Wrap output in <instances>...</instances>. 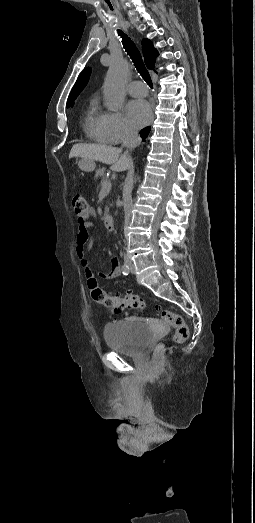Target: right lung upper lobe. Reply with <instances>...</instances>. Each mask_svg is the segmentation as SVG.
<instances>
[{"mask_svg":"<svg viewBox=\"0 0 255 523\" xmlns=\"http://www.w3.org/2000/svg\"><path fill=\"white\" fill-rule=\"evenodd\" d=\"M142 52L145 59V63L149 69H154V64L156 57L158 56V51L154 48L153 43L149 39H143L142 40ZM91 73L90 68H86L81 75L79 76L78 80L76 81L70 95L68 98V102L74 101V99L78 96V94L81 92V90L84 88V86L87 84L89 76ZM150 126L145 127L140 131V135L145 140L150 132Z\"/></svg>","mask_w":255,"mask_h":523,"instance_id":"cb5924a9","label":"right lung upper lobe"}]
</instances>
